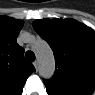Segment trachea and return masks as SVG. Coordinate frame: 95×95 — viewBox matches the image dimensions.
I'll return each instance as SVG.
<instances>
[{
    "instance_id": "trachea-1",
    "label": "trachea",
    "mask_w": 95,
    "mask_h": 95,
    "mask_svg": "<svg viewBox=\"0 0 95 95\" xmlns=\"http://www.w3.org/2000/svg\"><path fill=\"white\" fill-rule=\"evenodd\" d=\"M25 58L30 61V62H34L35 61V54L32 51H27L25 53Z\"/></svg>"
}]
</instances>
